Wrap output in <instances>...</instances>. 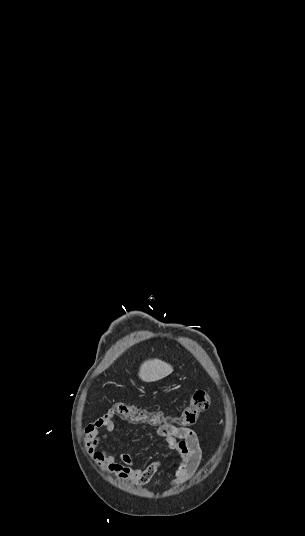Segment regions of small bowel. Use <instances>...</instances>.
<instances>
[{"mask_svg":"<svg viewBox=\"0 0 305 536\" xmlns=\"http://www.w3.org/2000/svg\"><path fill=\"white\" fill-rule=\"evenodd\" d=\"M114 419L113 411H104L102 418L95 419L93 425L84 426L85 432H81L79 437L84 439L87 453L95 464L119 480H128L139 486L146 485L162 467L161 461H153L146 467H141L129 454H112L104 448H99L107 438L100 430L114 427ZM156 434L163 439L165 447L174 450L178 456V462L169 465L174 473L171 484L175 486L186 482L197 471L203 457L198 435L189 427L176 426L173 423L171 427H157Z\"/></svg>","mask_w":305,"mask_h":536,"instance_id":"small-bowel-1","label":"small bowel"}]
</instances>
